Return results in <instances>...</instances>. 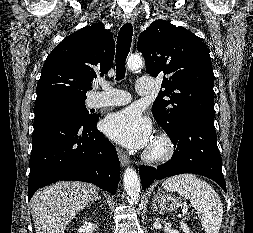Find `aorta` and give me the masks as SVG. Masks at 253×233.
<instances>
[{
    "label": "aorta",
    "instance_id": "762f6f07",
    "mask_svg": "<svg viewBox=\"0 0 253 233\" xmlns=\"http://www.w3.org/2000/svg\"><path fill=\"white\" fill-rule=\"evenodd\" d=\"M142 58L138 55H131L128 58L127 66L131 71L138 70L142 67ZM124 189L127 194V199L131 204H136L139 200L140 180L136 171L128 167L124 172L123 177Z\"/></svg>",
    "mask_w": 253,
    "mask_h": 233
}]
</instances>
